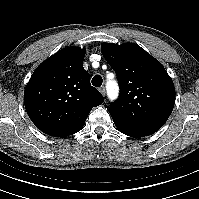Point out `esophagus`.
<instances>
[{
	"label": "esophagus",
	"mask_w": 199,
	"mask_h": 199,
	"mask_svg": "<svg viewBox=\"0 0 199 199\" xmlns=\"http://www.w3.org/2000/svg\"><path fill=\"white\" fill-rule=\"evenodd\" d=\"M99 92H100L103 96H105V95H106V89H105V87H104V86L100 87V88H99Z\"/></svg>",
	"instance_id": "34e87169"
}]
</instances>
